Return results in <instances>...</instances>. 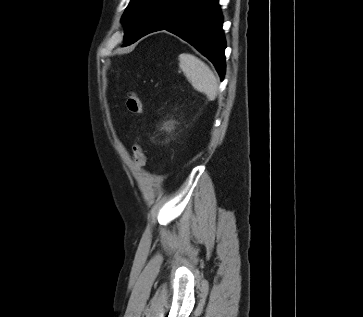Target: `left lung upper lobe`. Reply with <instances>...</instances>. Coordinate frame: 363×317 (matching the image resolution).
I'll return each mask as SVG.
<instances>
[{"label":"left lung upper lobe","mask_w":363,"mask_h":317,"mask_svg":"<svg viewBox=\"0 0 363 317\" xmlns=\"http://www.w3.org/2000/svg\"><path fill=\"white\" fill-rule=\"evenodd\" d=\"M158 0H131L122 22L125 26L124 44L135 42L145 31Z\"/></svg>","instance_id":"obj_1"}]
</instances>
